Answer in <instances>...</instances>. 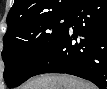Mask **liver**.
<instances>
[{
  "mask_svg": "<svg viewBox=\"0 0 107 89\" xmlns=\"http://www.w3.org/2000/svg\"><path fill=\"white\" fill-rule=\"evenodd\" d=\"M20 89H96L89 82L69 75L44 74L28 81Z\"/></svg>",
  "mask_w": 107,
  "mask_h": 89,
  "instance_id": "1",
  "label": "liver"
}]
</instances>
